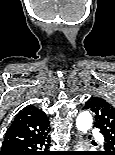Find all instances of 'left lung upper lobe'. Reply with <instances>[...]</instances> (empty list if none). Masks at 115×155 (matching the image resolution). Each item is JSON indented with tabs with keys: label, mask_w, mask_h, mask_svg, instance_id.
Listing matches in <instances>:
<instances>
[{
	"label": "left lung upper lobe",
	"mask_w": 115,
	"mask_h": 155,
	"mask_svg": "<svg viewBox=\"0 0 115 155\" xmlns=\"http://www.w3.org/2000/svg\"><path fill=\"white\" fill-rule=\"evenodd\" d=\"M83 109L95 113V127L105 138L104 151L99 155H115V108L104 99L91 97Z\"/></svg>",
	"instance_id": "obj_1"
}]
</instances>
